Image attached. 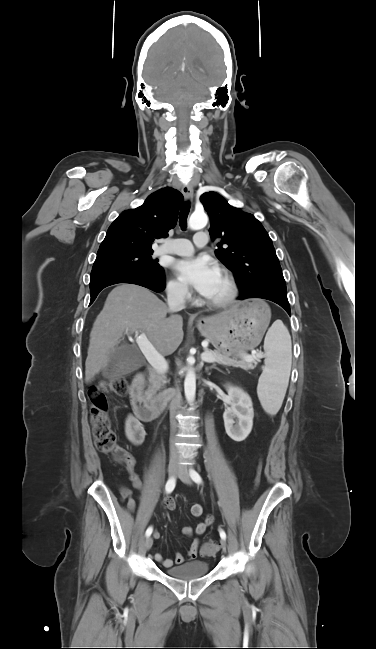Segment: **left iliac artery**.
I'll return each instance as SVG.
<instances>
[{
    "instance_id": "44dca946",
    "label": "left iliac artery",
    "mask_w": 376,
    "mask_h": 649,
    "mask_svg": "<svg viewBox=\"0 0 376 649\" xmlns=\"http://www.w3.org/2000/svg\"><path fill=\"white\" fill-rule=\"evenodd\" d=\"M190 476H191L192 480H193L195 483H197V484H201V483H202V478H201V476H200L199 473L196 472L194 469H191V470H190ZM219 533H220V537H221L222 539H226V533H225V531H224L223 529H220V530H219Z\"/></svg>"
}]
</instances>
